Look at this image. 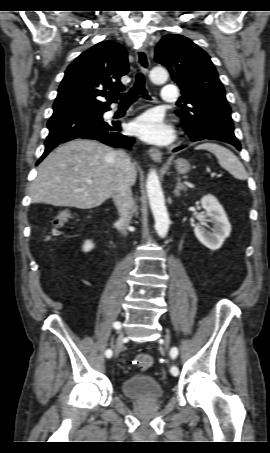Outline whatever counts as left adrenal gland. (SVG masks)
<instances>
[{
	"label": "left adrenal gland",
	"mask_w": 270,
	"mask_h": 453,
	"mask_svg": "<svg viewBox=\"0 0 270 453\" xmlns=\"http://www.w3.org/2000/svg\"><path fill=\"white\" fill-rule=\"evenodd\" d=\"M176 180H177V183H176V187H175V190H174V194L176 196H180V191L181 190H186L187 187L183 183H181V178L179 176H177Z\"/></svg>",
	"instance_id": "1"
}]
</instances>
